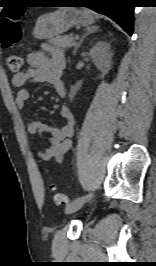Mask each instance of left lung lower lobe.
I'll list each match as a JSON object with an SVG mask.
<instances>
[{"label":"left lung lower lobe","instance_id":"left-lung-lower-lobe-1","mask_svg":"<svg viewBox=\"0 0 156 266\" xmlns=\"http://www.w3.org/2000/svg\"><path fill=\"white\" fill-rule=\"evenodd\" d=\"M68 3L76 4L78 7H89L113 19L130 36L133 33V0H70Z\"/></svg>","mask_w":156,"mask_h":266}]
</instances>
